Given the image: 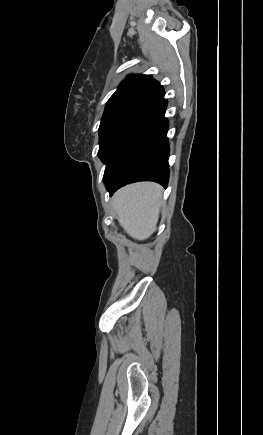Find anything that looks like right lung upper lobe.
Returning a JSON list of instances; mask_svg holds the SVG:
<instances>
[{
    "mask_svg": "<svg viewBox=\"0 0 263 435\" xmlns=\"http://www.w3.org/2000/svg\"><path fill=\"white\" fill-rule=\"evenodd\" d=\"M164 92L150 75H129L108 100L106 107L121 104L146 105Z\"/></svg>",
    "mask_w": 263,
    "mask_h": 435,
    "instance_id": "1",
    "label": "right lung upper lobe"
}]
</instances>
